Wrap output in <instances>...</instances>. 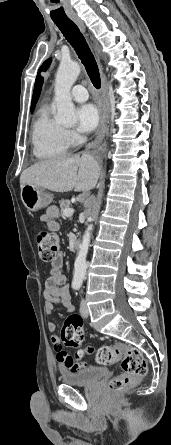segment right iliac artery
Wrapping results in <instances>:
<instances>
[{"mask_svg":"<svg viewBox=\"0 0 171 445\" xmlns=\"http://www.w3.org/2000/svg\"><path fill=\"white\" fill-rule=\"evenodd\" d=\"M72 288H73L74 290H76V289L79 288V286H78V285H73Z\"/></svg>","mask_w":171,"mask_h":445,"instance_id":"obj_1","label":"right iliac artery"}]
</instances>
